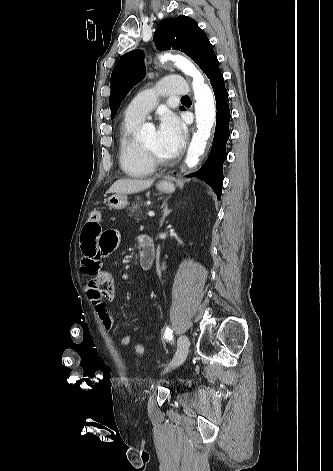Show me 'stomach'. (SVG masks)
Listing matches in <instances>:
<instances>
[{
	"mask_svg": "<svg viewBox=\"0 0 333 471\" xmlns=\"http://www.w3.org/2000/svg\"><path fill=\"white\" fill-rule=\"evenodd\" d=\"M156 187L161 193H172L175 190L174 184L168 180L159 181ZM127 199L126 194H113L108 198V206L116 210L123 209L128 205Z\"/></svg>",
	"mask_w": 333,
	"mask_h": 471,
	"instance_id": "0dacf381",
	"label": "stomach"
}]
</instances>
